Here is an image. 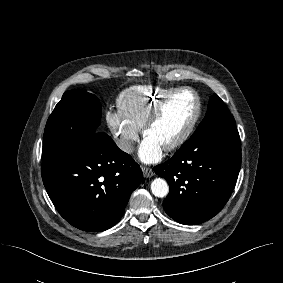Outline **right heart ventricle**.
<instances>
[{"instance_id": "e07e8e85", "label": "right heart ventricle", "mask_w": 283, "mask_h": 283, "mask_svg": "<svg viewBox=\"0 0 283 283\" xmlns=\"http://www.w3.org/2000/svg\"><path fill=\"white\" fill-rule=\"evenodd\" d=\"M172 90L174 88L152 85L135 86L126 90L119 97L117 106L130 124L141 129L157 101Z\"/></svg>"}]
</instances>
